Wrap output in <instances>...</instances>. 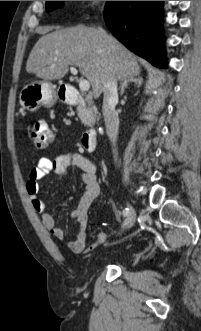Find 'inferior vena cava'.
I'll use <instances>...</instances> for the list:
<instances>
[{"mask_svg":"<svg viewBox=\"0 0 201 331\" xmlns=\"http://www.w3.org/2000/svg\"><path fill=\"white\" fill-rule=\"evenodd\" d=\"M103 93L102 113L106 125L107 135L115 148L119 130V117L117 111L115 110V106L118 103L117 81L115 79L109 80L103 89ZM113 153L115 160H117L116 148L113 149Z\"/></svg>","mask_w":201,"mask_h":331,"instance_id":"inferior-vena-cava-1","label":"inferior vena cava"}]
</instances>
